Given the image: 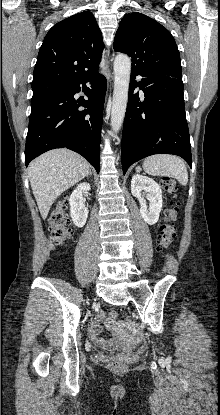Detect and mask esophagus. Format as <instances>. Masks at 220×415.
Segmentation results:
<instances>
[{"label": "esophagus", "instance_id": "1", "mask_svg": "<svg viewBox=\"0 0 220 415\" xmlns=\"http://www.w3.org/2000/svg\"><path fill=\"white\" fill-rule=\"evenodd\" d=\"M105 62H106V71L111 76L110 68H109V65H108V55L105 56Z\"/></svg>", "mask_w": 220, "mask_h": 415}]
</instances>
